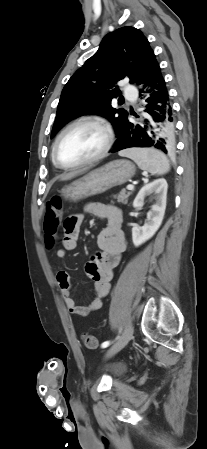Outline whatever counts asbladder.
<instances>
[{
	"label": "bladder",
	"instance_id": "obj_1",
	"mask_svg": "<svg viewBox=\"0 0 207 449\" xmlns=\"http://www.w3.org/2000/svg\"><path fill=\"white\" fill-rule=\"evenodd\" d=\"M102 370L107 372L111 377L116 378L124 374L126 367L123 364L115 363L105 366Z\"/></svg>",
	"mask_w": 207,
	"mask_h": 449
}]
</instances>
